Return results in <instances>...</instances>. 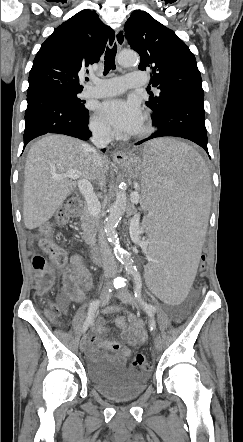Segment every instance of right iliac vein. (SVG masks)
<instances>
[{
  "instance_id": "right-iliac-vein-1",
  "label": "right iliac vein",
  "mask_w": 243,
  "mask_h": 442,
  "mask_svg": "<svg viewBox=\"0 0 243 442\" xmlns=\"http://www.w3.org/2000/svg\"><path fill=\"white\" fill-rule=\"evenodd\" d=\"M109 288L110 287L108 285H105L104 288L102 289V291L99 295L100 305H104L109 300V298H110ZM87 340H88V335L84 334L81 338V341H80V350L82 352H85V350H86Z\"/></svg>"
}]
</instances>
